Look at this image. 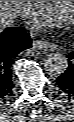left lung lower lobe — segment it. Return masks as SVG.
<instances>
[{"label":"left lung lower lobe","instance_id":"0a47b994","mask_svg":"<svg viewBox=\"0 0 74 122\" xmlns=\"http://www.w3.org/2000/svg\"><path fill=\"white\" fill-rule=\"evenodd\" d=\"M68 68L57 79L56 84L60 93L74 96V51L67 55Z\"/></svg>","mask_w":74,"mask_h":122}]
</instances>
